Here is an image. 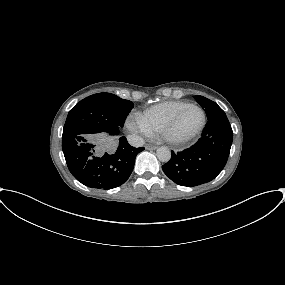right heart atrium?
<instances>
[{"mask_svg": "<svg viewBox=\"0 0 285 285\" xmlns=\"http://www.w3.org/2000/svg\"><path fill=\"white\" fill-rule=\"evenodd\" d=\"M127 128L135 135L149 136L152 132L143 124L137 115L130 116L126 122Z\"/></svg>", "mask_w": 285, "mask_h": 285, "instance_id": "right-heart-atrium-1", "label": "right heart atrium"}]
</instances>
